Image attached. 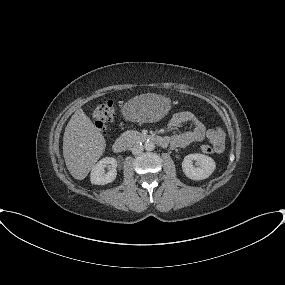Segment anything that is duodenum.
I'll use <instances>...</instances> for the list:
<instances>
[{
	"label": "duodenum",
	"instance_id": "duodenum-1",
	"mask_svg": "<svg viewBox=\"0 0 285 285\" xmlns=\"http://www.w3.org/2000/svg\"><path fill=\"white\" fill-rule=\"evenodd\" d=\"M151 141L155 142L157 145L161 147H167L169 145L168 138L164 136H154L150 138ZM129 148V142L125 138H117L113 145L112 149L115 153H122L127 151Z\"/></svg>",
	"mask_w": 285,
	"mask_h": 285
}]
</instances>
